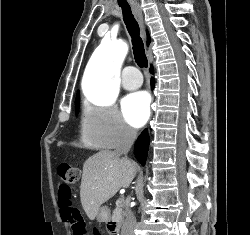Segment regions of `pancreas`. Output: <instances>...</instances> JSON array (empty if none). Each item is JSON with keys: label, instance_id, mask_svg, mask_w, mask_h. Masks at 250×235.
<instances>
[{"label": "pancreas", "instance_id": "cf45deb5", "mask_svg": "<svg viewBox=\"0 0 250 235\" xmlns=\"http://www.w3.org/2000/svg\"><path fill=\"white\" fill-rule=\"evenodd\" d=\"M123 200H119L118 203H116V208L112 213V220L118 222V223H122L124 220V211H123Z\"/></svg>", "mask_w": 250, "mask_h": 235}]
</instances>
